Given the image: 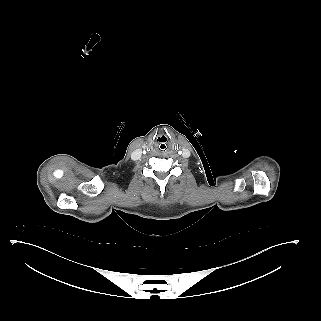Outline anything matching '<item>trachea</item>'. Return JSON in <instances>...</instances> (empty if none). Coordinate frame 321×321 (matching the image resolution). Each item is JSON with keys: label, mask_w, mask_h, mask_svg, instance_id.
<instances>
[{"label": "trachea", "mask_w": 321, "mask_h": 321, "mask_svg": "<svg viewBox=\"0 0 321 321\" xmlns=\"http://www.w3.org/2000/svg\"><path fill=\"white\" fill-rule=\"evenodd\" d=\"M168 150H169V147H168V145L165 144V143H162V144H160V145L158 146V151H159L160 153H162V154L167 153Z\"/></svg>", "instance_id": "3493384b"}]
</instances>
